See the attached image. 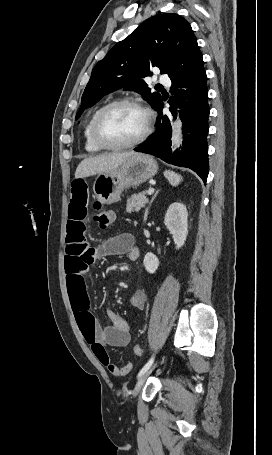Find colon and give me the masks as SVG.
Here are the masks:
<instances>
[{
	"instance_id": "1",
	"label": "colon",
	"mask_w": 272,
	"mask_h": 455,
	"mask_svg": "<svg viewBox=\"0 0 272 455\" xmlns=\"http://www.w3.org/2000/svg\"><path fill=\"white\" fill-rule=\"evenodd\" d=\"M113 219L114 215L110 210L101 208L97 203L94 204L93 220L101 230H107L112 224ZM134 353L136 356L141 357L144 350L140 345H136L134 347Z\"/></svg>"
}]
</instances>
